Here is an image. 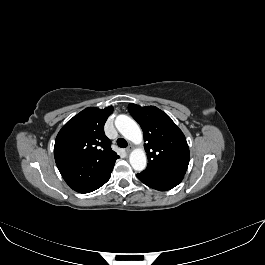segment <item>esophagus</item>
<instances>
[{"instance_id": "34e87169", "label": "esophagus", "mask_w": 265, "mask_h": 265, "mask_svg": "<svg viewBox=\"0 0 265 265\" xmlns=\"http://www.w3.org/2000/svg\"><path fill=\"white\" fill-rule=\"evenodd\" d=\"M132 149H133V146L130 145L128 148H126V152H127V153H130V152L132 151Z\"/></svg>"}]
</instances>
